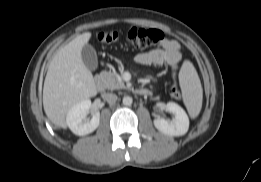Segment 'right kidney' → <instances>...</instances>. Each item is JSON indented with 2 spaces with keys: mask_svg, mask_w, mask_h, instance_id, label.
Here are the masks:
<instances>
[{
  "mask_svg": "<svg viewBox=\"0 0 261 182\" xmlns=\"http://www.w3.org/2000/svg\"><path fill=\"white\" fill-rule=\"evenodd\" d=\"M91 108V100L84 99L73 105L66 116V123L70 130L79 136L87 135L97 129L100 123V113L95 111L91 120H85L86 114Z\"/></svg>",
  "mask_w": 261,
  "mask_h": 182,
  "instance_id": "1",
  "label": "right kidney"
}]
</instances>
